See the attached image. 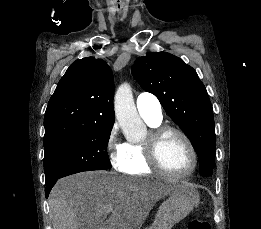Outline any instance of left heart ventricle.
Instances as JSON below:
<instances>
[{"mask_svg": "<svg viewBox=\"0 0 261 229\" xmlns=\"http://www.w3.org/2000/svg\"><path fill=\"white\" fill-rule=\"evenodd\" d=\"M160 158L167 169L185 173L192 164V157L184 140L176 134L167 135L160 147Z\"/></svg>", "mask_w": 261, "mask_h": 229, "instance_id": "left-heart-ventricle-1", "label": "left heart ventricle"}]
</instances>
